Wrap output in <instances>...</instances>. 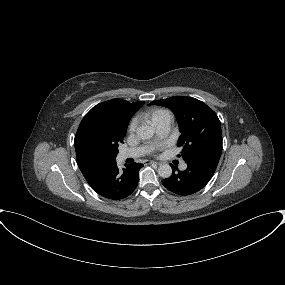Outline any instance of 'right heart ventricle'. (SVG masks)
<instances>
[{"mask_svg": "<svg viewBox=\"0 0 285 285\" xmlns=\"http://www.w3.org/2000/svg\"><path fill=\"white\" fill-rule=\"evenodd\" d=\"M169 114L168 111L164 110V109H155L152 110L151 112H149V117L151 119V121L156 124V122L163 116Z\"/></svg>", "mask_w": 285, "mask_h": 285, "instance_id": "e07e8e85", "label": "right heart ventricle"}]
</instances>
